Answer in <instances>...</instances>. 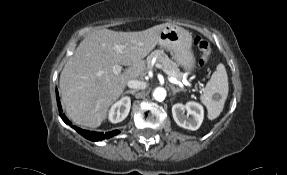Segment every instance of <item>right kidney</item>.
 Here are the masks:
<instances>
[{"label":"right kidney","mask_w":287,"mask_h":175,"mask_svg":"<svg viewBox=\"0 0 287 175\" xmlns=\"http://www.w3.org/2000/svg\"><path fill=\"white\" fill-rule=\"evenodd\" d=\"M131 107L130 97H123L114 103L109 111L108 119L112 123L123 121L129 114Z\"/></svg>","instance_id":"obj_1"}]
</instances>
